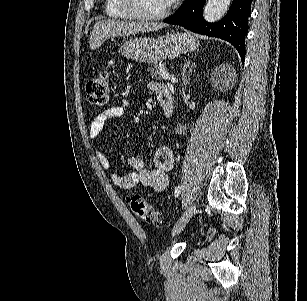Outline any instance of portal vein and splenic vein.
Instances as JSON below:
<instances>
[{
    "label": "portal vein and splenic vein",
    "mask_w": 307,
    "mask_h": 301,
    "mask_svg": "<svg viewBox=\"0 0 307 301\" xmlns=\"http://www.w3.org/2000/svg\"><path fill=\"white\" fill-rule=\"evenodd\" d=\"M164 78H168V80H171V82H177V78L173 76V74H167V72H163Z\"/></svg>",
    "instance_id": "obj_1"
}]
</instances>
